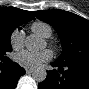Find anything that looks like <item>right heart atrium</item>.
Instances as JSON below:
<instances>
[{
  "label": "right heart atrium",
  "mask_w": 89,
  "mask_h": 89,
  "mask_svg": "<svg viewBox=\"0 0 89 89\" xmlns=\"http://www.w3.org/2000/svg\"><path fill=\"white\" fill-rule=\"evenodd\" d=\"M10 44L14 50H19L24 44V32L21 29H17L12 32L10 36Z\"/></svg>",
  "instance_id": "obj_1"
}]
</instances>
